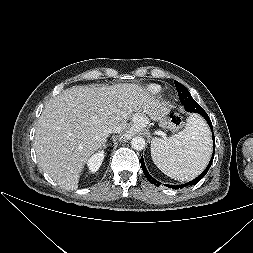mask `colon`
I'll use <instances>...</instances> for the list:
<instances>
[{"label": "colon", "mask_w": 253, "mask_h": 253, "mask_svg": "<svg viewBox=\"0 0 253 253\" xmlns=\"http://www.w3.org/2000/svg\"><path fill=\"white\" fill-rule=\"evenodd\" d=\"M171 123H172V125H174V126L179 125V121H178V119H177L176 117H174V118L171 119Z\"/></svg>", "instance_id": "5ec220e1"}]
</instances>
